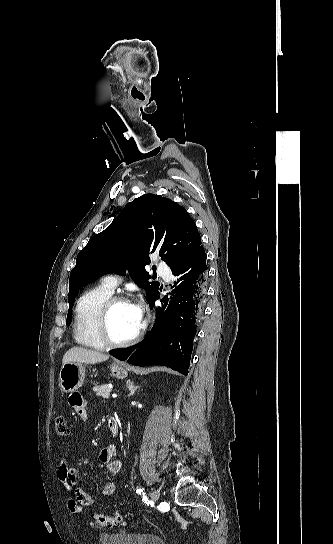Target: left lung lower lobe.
Returning a JSON list of instances; mask_svg holds the SVG:
<instances>
[{
  "mask_svg": "<svg viewBox=\"0 0 333 544\" xmlns=\"http://www.w3.org/2000/svg\"><path fill=\"white\" fill-rule=\"evenodd\" d=\"M206 253L201 245L183 265L172 270L176 277L172 297L161 301L156 323L137 345L114 349L110 354L137 366L164 365L187 375L195 325L202 314L206 292ZM159 293L150 300L151 307Z\"/></svg>",
  "mask_w": 333,
  "mask_h": 544,
  "instance_id": "left-lung-lower-lobe-1",
  "label": "left lung lower lobe"
}]
</instances>
